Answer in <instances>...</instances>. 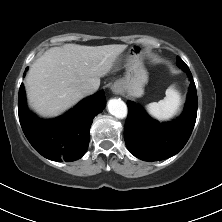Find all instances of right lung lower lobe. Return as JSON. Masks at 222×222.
<instances>
[{
    "label": "right lung lower lobe",
    "instance_id": "1",
    "mask_svg": "<svg viewBox=\"0 0 222 222\" xmlns=\"http://www.w3.org/2000/svg\"><path fill=\"white\" fill-rule=\"evenodd\" d=\"M105 104L104 92L100 91L61 117L41 120L28 110L24 86L21 84L18 97L19 120L26 138L38 153L53 161L70 162L85 154L92 120L104 109Z\"/></svg>",
    "mask_w": 222,
    "mask_h": 222
}]
</instances>
